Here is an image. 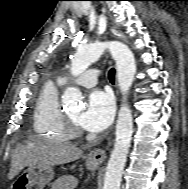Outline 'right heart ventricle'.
I'll list each match as a JSON object with an SVG mask.
<instances>
[{"label": "right heart ventricle", "instance_id": "1", "mask_svg": "<svg viewBox=\"0 0 188 189\" xmlns=\"http://www.w3.org/2000/svg\"><path fill=\"white\" fill-rule=\"evenodd\" d=\"M59 85L52 81H46L36 98L33 111L34 131L54 142L67 140L64 113L58 98Z\"/></svg>", "mask_w": 188, "mask_h": 189}]
</instances>
